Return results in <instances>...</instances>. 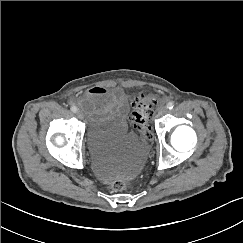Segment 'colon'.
Instances as JSON below:
<instances>
[{
  "mask_svg": "<svg viewBox=\"0 0 243 243\" xmlns=\"http://www.w3.org/2000/svg\"><path fill=\"white\" fill-rule=\"evenodd\" d=\"M157 100L149 94H139L132 102L131 121L136 131L145 139L151 138V119ZM112 189L120 192L129 187V183L122 179L112 182Z\"/></svg>",
  "mask_w": 243,
  "mask_h": 243,
  "instance_id": "5ec220e1",
  "label": "colon"
}]
</instances>
